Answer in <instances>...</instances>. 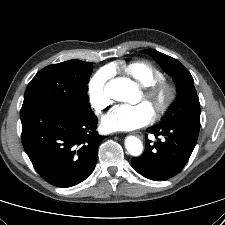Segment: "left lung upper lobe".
Here are the masks:
<instances>
[{
	"mask_svg": "<svg viewBox=\"0 0 225 225\" xmlns=\"http://www.w3.org/2000/svg\"><path fill=\"white\" fill-rule=\"evenodd\" d=\"M144 52L152 55L155 60L169 73L177 86L178 98L174 108L167 117L158 125L174 123L200 124V103L197 96L194 80L189 71L176 59L158 52L147 49Z\"/></svg>",
	"mask_w": 225,
	"mask_h": 225,
	"instance_id": "left-lung-upper-lobe-1",
	"label": "left lung upper lobe"
}]
</instances>
